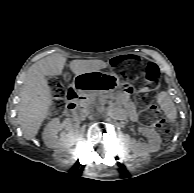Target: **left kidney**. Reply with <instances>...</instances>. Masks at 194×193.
<instances>
[{"mask_svg":"<svg viewBox=\"0 0 194 193\" xmlns=\"http://www.w3.org/2000/svg\"><path fill=\"white\" fill-rule=\"evenodd\" d=\"M139 131L148 138V143H138L135 140H131L129 147L134 154L145 156L160 149L161 138L154 129L140 127Z\"/></svg>","mask_w":194,"mask_h":193,"instance_id":"obj_1","label":"left kidney"}]
</instances>
